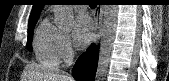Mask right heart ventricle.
<instances>
[{
    "label": "right heart ventricle",
    "mask_w": 169,
    "mask_h": 81,
    "mask_svg": "<svg viewBox=\"0 0 169 81\" xmlns=\"http://www.w3.org/2000/svg\"><path fill=\"white\" fill-rule=\"evenodd\" d=\"M61 33L44 19L36 28L33 38V50L36 59L47 66L59 63L58 42Z\"/></svg>",
    "instance_id": "obj_1"
}]
</instances>
